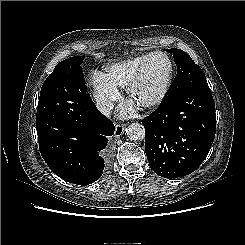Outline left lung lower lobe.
Returning a JSON list of instances; mask_svg holds the SVG:
<instances>
[{"instance_id":"0a47b994","label":"left lung lower lobe","mask_w":245,"mask_h":245,"mask_svg":"<svg viewBox=\"0 0 245 245\" xmlns=\"http://www.w3.org/2000/svg\"><path fill=\"white\" fill-rule=\"evenodd\" d=\"M149 165L159 176L179 178L205 160L216 131L215 103L207 82L166 99L142 120Z\"/></svg>"}]
</instances>
